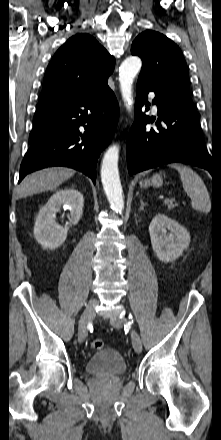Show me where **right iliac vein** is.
<instances>
[{
  "mask_svg": "<svg viewBox=\"0 0 221 440\" xmlns=\"http://www.w3.org/2000/svg\"><path fill=\"white\" fill-rule=\"evenodd\" d=\"M97 301L93 300L88 307L84 310L80 322H79V329H78V341L80 343H83L87 337V327L91 319L95 315L94 306L96 305Z\"/></svg>",
  "mask_w": 221,
  "mask_h": 440,
  "instance_id": "1",
  "label": "right iliac vein"
}]
</instances>
